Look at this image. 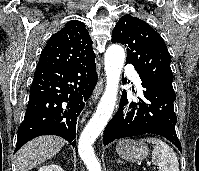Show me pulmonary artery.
Returning a JSON list of instances; mask_svg holds the SVG:
<instances>
[{"label": "pulmonary artery", "mask_w": 199, "mask_h": 171, "mask_svg": "<svg viewBox=\"0 0 199 171\" xmlns=\"http://www.w3.org/2000/svg\"><path fill=\"white\" fill-rule=\"evenodd\" d=\"M128 75L132 78V80L136 84L141 85L140 79H139L138 75L135 72L128 70Z\"/></svg>", "instance_id": "e3ab8cb5"}]
</instances>
